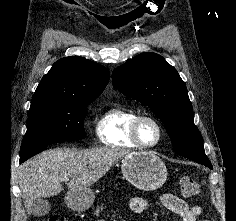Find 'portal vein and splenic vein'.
<instances>
[{
  "label": "portal vein and splenic vein",
  "mask_w": 236,
  "mask_h": 221,
  "mask_svg": "<svg viewBox=\"0 0 236 221\" xmlns=\"http://www.w3.org/2000/svg\"><path fill=\"white\" fill-rule=\"evenodd\" d=\"M65 181H68L69 179L68 178H64Z\"/></svg>",
  "instance_id": "obj_1"
}]
</instances>
